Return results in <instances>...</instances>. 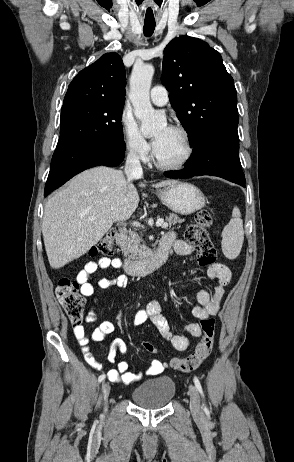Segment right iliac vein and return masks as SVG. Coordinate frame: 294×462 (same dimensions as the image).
<instances>
[{"label":"right iliac vein","mask_w":294,"mask_h":462,"mask_svg":"<svg viewBox=\"0 0 294 462\" xmlns=\"http://www.w3.org/2000/svg\"><path fill=\"white\" fill-rule=\"evenodd\" d=\"M110 393V385L107 383L102 384V394L104 397V400L106 401Z\"/></svg>","instance_id":"obj_1"}]
</instances>
